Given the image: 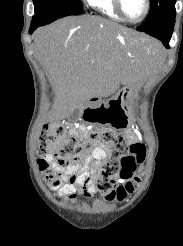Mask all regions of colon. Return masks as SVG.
<instances>
[{
	"instance_id": "colon-1",
	"label": "colon",
	"mask_w": 183,
	"mask_h": 246,
	"mask_svg": "<svg viewBox=\"0 0 183 246\" xmlns=\"http://www.w3.org/2000/svg\"><path fill=\"white\" fill-rule=\"evenodd\" d=\"M87 118L91 122H110L114 126L125 122L121 113H109L105 106L89 110ZM98 142L108 146L109 155L99 170L95 187L105 201H123L141 183L142 174L137 170V165L144 160L145 147L138 142L128 145L126 138L112 128L92 133L89 141L83 145L75 136L67 134L66 127L61 123L42 128L37 144L39 169L43 172L49 169L45 157L51 154L63 166L83 168L89 163L84 148Z\"/></svg>"
}]
</instances>
